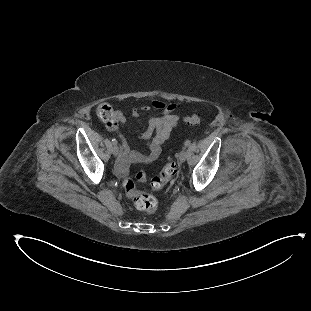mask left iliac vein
<instances>
[{
	"label": "left iliac vein",
	"instance_id": "left-iliac-vein-1",
	"mask_svg": "<svg viewBox=\"0 0 311 311\" xmlns=\"http://www.w3.org/2000/svg\"><path fill=\"white\" fill-rule=\"evenodd\" d=\"M187 158V152L185 150H182L179 154V161L180 163H183L186 161Z\"/></svg>",
	"mask_w": 311,
	"mask_h": 311
}]
</instances>
